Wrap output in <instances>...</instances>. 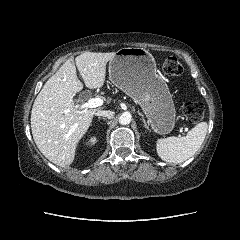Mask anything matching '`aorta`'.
I'll list each match as a JSON object with an SVG mask.
<instances>
[{
	"instance_id": "762f6f07",
	"label": "aorta",
	"mask_w": 240,
	"mask_h": 240,
	"mask_svg": "<svg viewBox=\"0 0 240 240\" xmlns=\"http://www.w3.org/2000/svg\"><path fill=\"white\" fill-rule=\"evenodd\" d=\"M131 120H132V116L129 112H124L119 117V123L121 125H128L130 124Z\"/></svg>"
}]
</instances>
